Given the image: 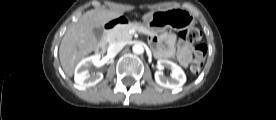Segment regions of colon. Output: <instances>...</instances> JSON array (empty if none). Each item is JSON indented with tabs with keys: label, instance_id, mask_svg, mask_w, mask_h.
Here are the masks:
<instances>
[{
	"label": "colon",
	"instance_id": "5ec220e1",
	"mask_svg": "<svg viewBox=\"0 0 276 120\" xmlns=\"http://www.w3.org/2000/svg\"><path fill=\"white\" fill-rule=\"evenodd\" d=\"M179 37L182 41L195 44L193 51V60L191 64V71L198 73L203 67L207 48L203 43H200L202 34L199 29L193 27L188 30L179 33Z\"/></svg>",
	"mask_w": 276,
	"mask_h": 120
}]
</instances>
